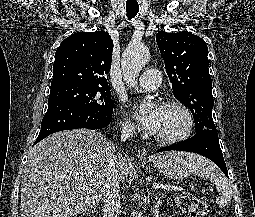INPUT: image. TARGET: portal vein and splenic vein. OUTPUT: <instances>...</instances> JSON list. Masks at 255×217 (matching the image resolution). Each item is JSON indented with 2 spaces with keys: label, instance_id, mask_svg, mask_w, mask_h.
<instances>
[{
  "label": "portal vein and splenic vein",
  "instance_id": "portal-vein-and-splenic-vein-1",
  "mask_svg": "<svg viewBox=\"0 0 255 217\" xmlns=\"http://www.w3.org/2000/svg\"><path fill=\"white\" fill-rule=\"evenodd\" d=\"M154 188H163V189L171 190V191H181V190H183L181 187H178V186L159 185V184L154 185Z\"/></svg>",
  "mask_w": 255,
  "mask_h": 217
}]
</instances>
